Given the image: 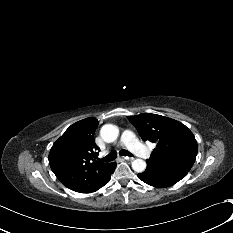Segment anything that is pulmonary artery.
<instances>
[{
	"instance_id": "1",
	"label": "pulmonary artery",
	"mask_w": 233,
	"mask_h": 233,
	"mask_svg": "<svg viewBox=\"0 0 233 233\" xmlns=\"http://www.w3.org/2000/svg\"><path fill=\"white\" fill-rule=\"evenodd\" d=\"M120 142L122 146L127 147L134 154L140 157L148 158L150 155L149 151L139 143L135 134L130 130H125L122 132Z\"/></svg>"
}]
</instances>
